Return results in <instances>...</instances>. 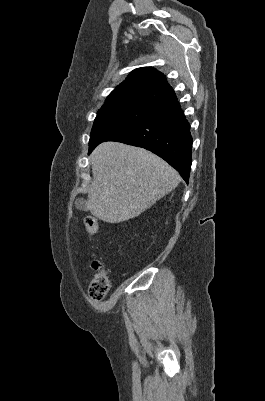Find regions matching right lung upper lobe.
<instances>
[{"instance_id":"1","label":"right lung upper lobe","mask_w":265,"mask_h":401,"mask_svg":"<svg viewBox=\"0 0 265 401\" xmlns=\"http://www.w3.org/2000/svg\"><path fill=\"white\" fill-rule=\"evenodd\" d=\"M177 100L166 77L151 67L137 68L114 89L103 106L121 103L146 102L162 107Z\"/></svg>"}]
</instances>
